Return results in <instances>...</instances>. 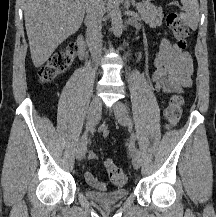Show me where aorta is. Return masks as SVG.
<instances>
[{
    "instance_id": "1",
    "label": "aorta",
    "mask_w": 216,
    "mask_h": 217,
    "mask_svg": "<svg viewBox=\"0 0 216 217\" xmlns=\"http://www.w3.org/2000/svg\"><path fill=\"white\" fill-rule=\"evenodd\" d=\"M110 14L112 31L116 37H120L123 30V21L118 0H113V6Z\"/></svg>"
}]
</instances>
